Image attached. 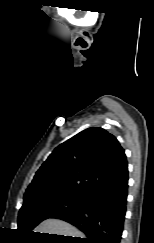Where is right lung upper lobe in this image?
<instances>
[{"instance_id":"cb5924a9","label":"right lung upper lobe","mask_w":154,"mask_h":243,"mask_svg":"<svg viewBox=\"0 0 154 243\" xmlns=\"http://www.w3.org/2000/svg\"><path fill=\"white\" fill-rule=\"evenodd\" d=\"M126 169L118 140L102 128H88L50 154L28 186L24 203L57 195L87 198Z\"/></svg>"}]
</instances>
